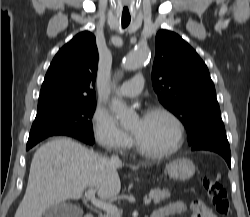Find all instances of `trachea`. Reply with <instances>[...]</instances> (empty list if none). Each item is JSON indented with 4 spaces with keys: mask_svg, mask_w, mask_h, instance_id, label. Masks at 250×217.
Wrapping results in <instances>:
<instances>
[{
    "mask_svg": "<svg viewBox=\"0 0 250 217\" xmlns=\"http://www.w3.org/2000/svg\"><path fill=\"white\" fill-rule=\"evenodd\" d=\"M130 19H122V27L125 28L129 25Z\"/></svg>",
    "mask_w": 250,
    "mask_h": 217,
    "instance_id": "3493384b",
    "label": "trachea"
}]
</instances>
